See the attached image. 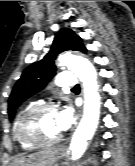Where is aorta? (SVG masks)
Here are the masks:
<instances>
[{"label":"aorta","instance_id":"aorta-1","mask_svg":"<svg viewBox=\"0 0 135 166\" xmlns=\"http://www.w3.org/2000/svg\"><path fill=\"white\" fill-rule=\"evenodd\" d=\"M59 66L71 70L83 85V117L70 143L71 158L78 160L84 154L88 141L92 139L99 121L100 94L98 92L97 73L89 60L70 54L59 57Z\"/></svg>","mask_w":135,"mask_h":166}]
</instances>
